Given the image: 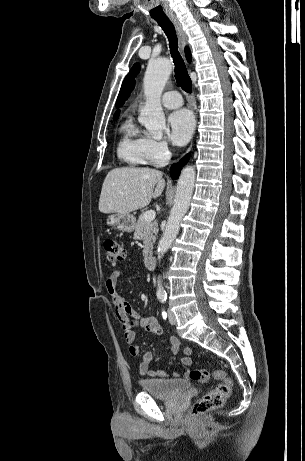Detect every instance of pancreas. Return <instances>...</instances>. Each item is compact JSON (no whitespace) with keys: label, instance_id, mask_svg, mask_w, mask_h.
I'll return each mask as SVG.
<instances>
[{"label":"pancreas","instance_id":"pancreas-1","mask_svg":"<svg viewBox=\"0 0 305 461\" xmlns=\"http://www.w3.org/2000/svg\"><path fill=\"white\" fill-rule=\"evenodd\" d=\"M158 224L155 221L148 222L144 219V214H141L135 226L134 238L140 237L143 241V255L147 257L156 240Z\"/></svg>","mask_w":305,"mask_h":461}]
</instances>
